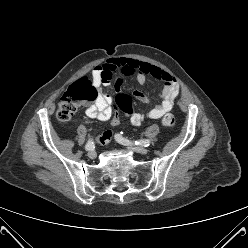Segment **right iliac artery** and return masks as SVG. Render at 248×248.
Wrapping results in <instances>:
<instances>
[{
    "instance_id": "1",
    "label": "right iliac artery",
    "mask_w": 248,
    "mask_h": 248,
    "mask_svg": "<svg viewBox=\"0 0 248 248\" xmlns=\"http://www.w3.org/2000/svg\"><path fill=\"white\" fill-rule=\"evenodd\" d=\"M93 148H94V142L92 139H90L85 146V150L89 151L92 150Z\"/></svg>"
}]
</instances>
